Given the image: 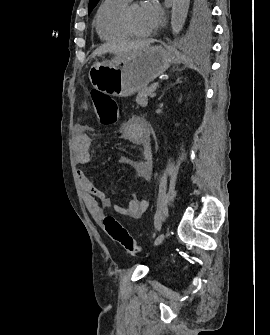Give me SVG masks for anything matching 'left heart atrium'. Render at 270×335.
Returning a JSON list of instances; mask_svg holds the SVG:
<instances>
[{
	"label": "left heart atrium",
	"instance_id": "left-heart-atrium-1",
	"mask_svg": "<svg viewBox=\"0 0 270 335\" xmlns=\"http://www.w3.org/2000/svg\"><path fill=\"white\" fill-rule=\"evenodd\" d=\"M141 15L145 33L154 32L160 28L165 21L160 6L153 1L147 2L141 7Z\"/></svg>",
	"mask_w": 270,
	"mask_h": 335
}]
</instances>
